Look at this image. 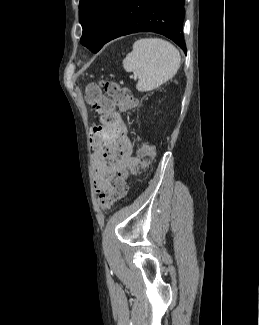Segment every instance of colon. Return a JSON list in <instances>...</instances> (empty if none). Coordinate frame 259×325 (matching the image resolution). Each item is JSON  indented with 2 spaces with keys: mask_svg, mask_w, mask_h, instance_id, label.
Returning a JSON list of instances; mask_svg holds the SVG:
<instances>
[{
  "mask_svg": "<svg viewBox=\"0 0 259 325\" xmlns=\"http://www.w3.org/2000/svg\"><path fill=\"white\" fill-rule=\"evenodd\" d=\"M85 99L98 112H102L101 120L105 127H110L115 122L113 116L106 113L110 106H117L125 112H132L137 106V100L130 89L118 82L110 80H102L88 84L85 89ZM101 129L102 126H89L90 142L98 141ZM138 152L143 159L142 166L147 167L154 156L153 149L150 146H142ZM126 179L127 173L119 174L113 183L112 191L99 195V204L103 210L112 209L116 202L125 198L128 191Z\"/></svg>",
  "mask_w": 259,
  "mask_h": 325,
  "instance_id": "obj_1",
  "label": "colon"
}]
</instances>
